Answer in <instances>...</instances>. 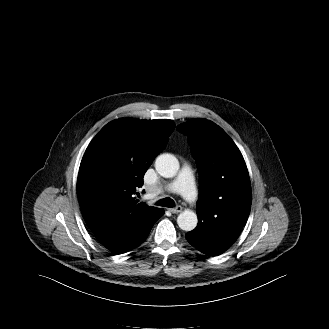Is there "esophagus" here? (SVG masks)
Segmentation results:
<instances>
[{
    "label": "esophagus",
    "instance_id": "obj_1",
    "mask_svg": "<svg viewBox=\"0 0 329 329\" xmlns=\"http://www.w3.org/2000/svg\"><path fill=\"white\" fill-rule=\"evenodd\" d=\"M169 211H170L171 213H173V214H177V213H179V212L182 211V207H181V206H177V207H175V208H170Z\"/></svg>",
    "mask_w": 329,
    "mask_h": 329
}]
</instances>
